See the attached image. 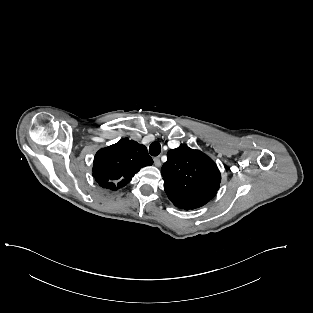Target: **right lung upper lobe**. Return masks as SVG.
<instances>
[{
  "label": "right lung upper lobe",
  "instance_id": "obj_1",
  "mask_svg": "<svg viewBox=\"0 0 313 313\" xmlns=\"http://www.w3.org/2000/svg\"><path fill=\"white\" fill-rule=\"evenodd\" d=\"M152 163L144 145L122 139L96 153L92 171L101 187L116 191L128 184L142 167Z\"/></svg>",
  "mask_w": 313,
  "mask_h": 313
}]
</instances>
